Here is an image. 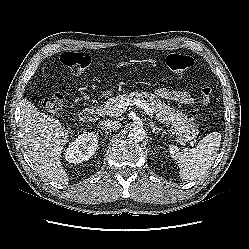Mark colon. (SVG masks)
<instances>
[{"instance_id":"obj_1","label":"colon","mask_w":249,"mask_h":249,"mask_svg":"<svg viewBox=\"0 0 249 249\" xmlns=\"http://www.w3.org/2000/svg\"><path fill=\"white\" fill-rule=\"evenodd\" d=\"M60 61L67 66L74 74H82L91 65V57L85 52H64ZM167 68L175 74H183L195 67L194 59L189 55L172 53L165 60ZM212 88L205 86L200 90L201 101L208 105L211 100ZM65 97L63 93L56 92L42 99V107L52 115H59L64 106Z\"/></svg>"}]
</instances>
